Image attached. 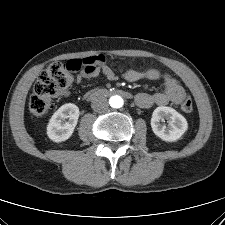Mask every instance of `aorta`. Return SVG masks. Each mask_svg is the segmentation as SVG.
<instances>
[{"label":"aorta","instance_id":"obj_1","mask_svg":"<svg viewBox=\"0 0 225 225\" xmlns=\"http://www.w3.org/2000/svg\"><path fill=\"white\" fill-rule=\"evenodd\" d=\"M109 103L113 108H121L124 105V100L121 96L115 95L110 98Z\"/></svg>","mask_w":225,"mask_h":225}]
</instances>
